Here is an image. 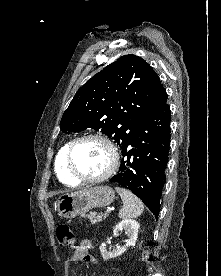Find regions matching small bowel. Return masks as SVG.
Instances as JSON below:
<instances>
[{
    "label": "small bowel",
    "mask_w": 221,
    "mask_h": 276,
    "mask_svg": "<svg viewBox=\"0 0 221 276\" xmlns=\"http://www.w3.org/2000/svg\"><path fill=\"white\" fill-rule=\"evenodd\" d=\"M90 240H83L81 243L74 247L73 255L71 257V261L73 263L85 261L90 262L92 264L96 263V259L89 254V249L91 248Z\"/></svg>",
    "instance_id": "1"
}]
</instances>
